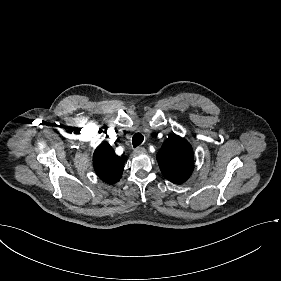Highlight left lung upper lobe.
Segmentation results:
<instances>
[{"label":"left lung upper lobe","mask_w":281,"mask_h":281,"mask_svg":"<svg viewBox=\"0 0 281 281\" xmlns=\"http://www.w3.org/2000/svg\"><path fill=\"white\" fill-rule=\"evenodd\" d=\"M157 161L166 179L181 184L190 177L194 168L192 147L184 138L171 136L163 143Z\"/></svg>","instance_id":"obj_1"}]
</instances>
